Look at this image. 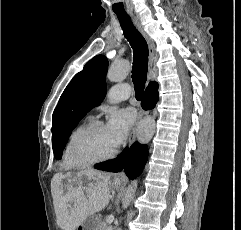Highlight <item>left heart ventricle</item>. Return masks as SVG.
Instances as JSON below:
<instances>
[{
	"instance_id": "obj_1",
	"label": "left heart ventricle",
	"mask_w": 241,
	"mask_h": 230,
	"mask_svg": "<svg viewBox=\"0 0 241 230\" xmlns=\"http://www.w3.org/2000/svg\"><path fill=\"white\" fill-rule=\"evenodd\" d=\"M114 149L108 139L105 126H102L85 140L81 148V155L84 158H97L109 154Z\"/></svg>"
}]
</instances>
